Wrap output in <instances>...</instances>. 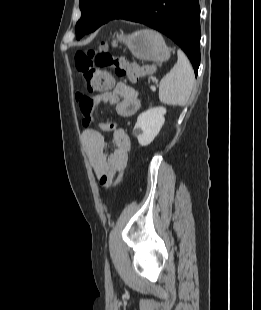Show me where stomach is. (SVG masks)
<instances>
[{
    "instance_id": "obj_1",
    "label": "stomach",
    "mask_w": 261,
    "mask_h": 310,
    "mask_svg": "<svg viewBox=\"0 0 261 310\" xmlns=\"http://www.w3.org/2000/svg\"><path fill=\"white\" fill-rule=\"evenodd\" d=\"M117 39L124 43L137 59L164 62L170 58V48L162 36L153 30L145 29L128 35L121 31L117 34Z\"/></svg>"
}]
</instances>
